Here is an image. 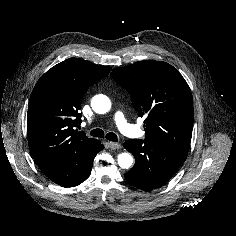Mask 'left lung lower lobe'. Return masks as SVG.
<instances>
[{
  "instance_id": "1",
  "label": "left lung lower lobe",
  "mask_w": 236,
  "mask_h": 236,
  "mask_svg": "<svg viewBox=\"0 0 236 236\" xmlns=\"http://www.w3.org/2000/svg\"><path fill=\"white\" fill-rule=\"evenodd\" d=\"M124 147L135 165L124 177L135 187L150 191L163 186L186 160L188 152L148 140H127Z\"/></svg>"
}]
</instances>
